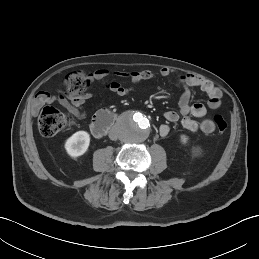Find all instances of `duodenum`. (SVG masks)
I'll list each match as a JSON object with an SVG mask.
<instances>
[{"label": "duodenum", "mask_w": 259, "mask_h": 259, "mask_svg": "<svg viewBox=\"0 0 259 259\" xmlns=\"http://www.w3.org/2000/svg\"><path fill=\"white\" fill-rule=\"evenodd\" d=\"M115 121V114L110 111H100L91 123V131L94 136L101 137L108 132Z\"/></svg>", "instance_id": "1"}]
</instances>
